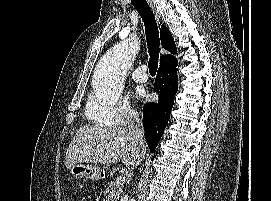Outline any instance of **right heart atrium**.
Returning a JSON list of instances; mask_svg holds the SVG:
<instances>
[{"label": "right heart atrium", "mask_w": 271, "mask_h": 201, "mask_svg": "<svg viewBox=\"0 0 271 201\" xmlns=\"http://www.w3.org/2000/svg\"><path fill=\"white\" fill-rule=\"evenodd\" d=\"M87 118L97 124L126 126L139 120L138 111L127 100L106 106L97 98H92L86 110Z\"/></svg>", "instance_id": "obj_1"}]
</instances>
